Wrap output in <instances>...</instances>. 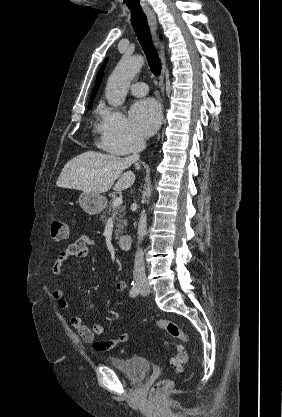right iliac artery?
<instances>
[{
    "label": "right iliac artery",
    "mask_w": 282,
    "mask_h": 417,
    "mask_svg": "<svg viewBox=\"0 0 282 417\" xmlns=\"http://www.w3.org/2000/svg\"><path fill=\"white\" fill-rule=\"evenodd\" d=\"M138 294H139V287L137 286V284H135L134 282H132V287L130 289L129 295L132 298H135Z\"/></svg>",
    "instance_id": "82829eb1"
}]
</instances>
